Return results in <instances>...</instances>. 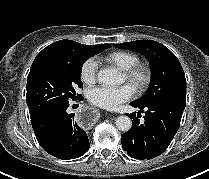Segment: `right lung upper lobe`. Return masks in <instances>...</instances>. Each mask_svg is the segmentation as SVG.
I'll list each match as a JSON object with an SVG mask.
<instances>
[{
	"instance_id": "right-lung-upper-lobe-1",
	"label": "right lung upper lobe",
	"mask_w": 209,
	"mask_h": 179,
	"mask_svg": "<svg viewBox=\"0 0 209 179\" xmlns=\"http://www.w3.org/2000/svg\"><path fill=\"white\" fill-rule=\"evenodd\" d=\"M100 45L90 46L72 40H60L44 48L36 57L69 55L78 51L93 49Z\"/></svg>"
}]
</instances>
